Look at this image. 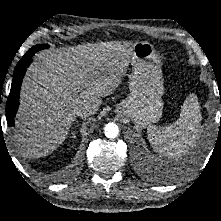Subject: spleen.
I'll use <instances>...</instances> for the list:
<instances>
[{"label": "spleen", "instance_id": "obj_1", "mask_svg": "<svg viewBox=\"0 0 221 221\" xmlns=\"http://www.w3.org/2000/svg\"><path fill=\"white\" fill-rule=\"evenodd\" d=\"M201 118L196 96H188L181 107L180 117L174 123L148 127V139L153 150L160 156L181 158L200 138Z\"/></svg>", "mask_w": 221, "mask_h": 221}]
</instances>
